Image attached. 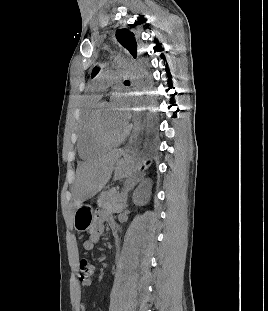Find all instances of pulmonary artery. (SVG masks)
<instances>
[{
    "mask_svg": "<svg viewBox=\"0 0 268 311\" xmlns=\"http://www.w3.org/2000/svg\"><path fill=\"white\" fill-rule=\"evenodd\" d=\"M129 77V73L125 70L119 69L99 75L91 85V91L101 96V93L111 84L121 82Z\"/></svg>",
    "mask_w": 268,
    "mask_h": 311,
    "instance_id": "obj_1",
    "label": "pulmonary artery"
}]
</instances>
